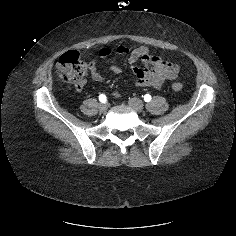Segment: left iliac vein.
<instances>
[{"mask_svg": "<svg viewBox=\"0 0 236 236\" xmlns=\"http://www.w3.org/2000/svg\"><path fill=\"white\" fill-rule=\"evenodd\" d=\"M129 105L137 112H143L144 110V104L138 98H131L129 100Z\"/></svg>", "mask_w": 236, "mask_h": 236, "instance_id": "obj_1", "label": "left iliac vein"}]
</instances>
